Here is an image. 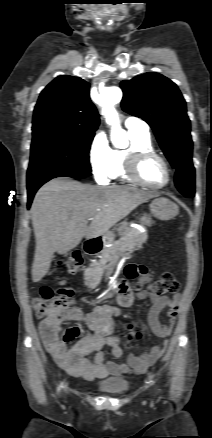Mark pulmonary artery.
I'll return each mask as SVG.
<instances>
[{"label": "pulmonary artery", "mask_w": 212, "mask_h": 438, "mask_svg": "<svg viewBox=\"0 0 212 438\" xmlns=\"http://www.w3.org/2000/svg\"><path fill=\"white\" fill-rule=\"evenodd\" d=\"M125 127L128 129V131L142 133V134L149 133L148 124L138 117H134V116L128 117L125 120Z\"/></svg>", "instance_id": "e3ab8cb5"}]
</instances>
